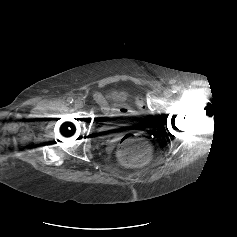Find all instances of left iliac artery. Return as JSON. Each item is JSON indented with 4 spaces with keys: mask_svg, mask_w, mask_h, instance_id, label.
<instances>
[{
    "mask_svg": "<svg viewBox=\"0 0 237 237\" xmlns=\"http://www.w3.org/2000/svg\"><path fill=\"white\" fill-rule=\"evenodd\" d=\"M178 91H179V87L178 86L175 85V86L172 87V92L173 93H177Z\"/></svg>",
    "mask_w": 237,
    "mask_h": 237,
    "instance_id": "obj_1",
    "label": "left iliac artery"
}]
</instances>
